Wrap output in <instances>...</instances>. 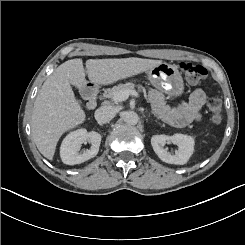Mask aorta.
<instances>
[{
  "instance_id": "aorta-1",
  "label": "aorta",
  "mask_w": 245,
  "mask_h": 245,
  "mask_svg": "<svg viewBox=\"0 0 245 245\" xmlns=\"http://www.w3.org/2000/svg\"><path fill=\"white\" fill-rule=\"evenodd\" d=\"M123 120L128 125H135L138 123V114L134 111H126L123 114Z\"/></svg>"
}]
</instances>
